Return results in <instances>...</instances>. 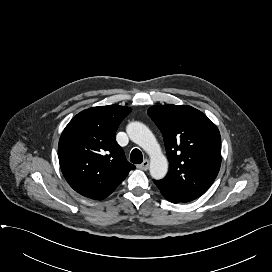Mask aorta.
<instances>
[{"instance_id":"obj_1","label":"aorta","mask_w":272,"mask_h":272,"mask_svg":"<svg viewBox=\"0 0 272 272\" xmlns=\"http://www.w3.org/2000/svg\"><path fill=\"white\" fill-rule=\"evenodd\" d=\"M129 138L143 148L150 156V175L153 179L164 178L168 171V161L150 129L141 122H131L126 128Z\"/></svg>"}]
</instances>
